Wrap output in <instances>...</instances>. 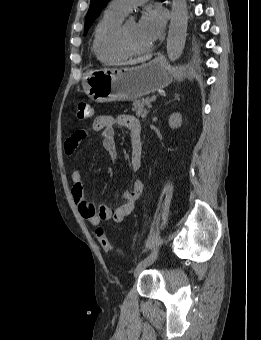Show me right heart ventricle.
Segmentation results:
<instances>
[{
  "mask_svg": "<svg viewBox=\"0 0 261 340\" xmlns=\"http://www.w3.org/2000/svg\"><path fill=\"white\" fill-rule=\"evenodd\" d=\"M124 16L125 14L108 6L96 25L92 50L101 63H113L127 57L116 44L117 32Z\"/></svg>",
  "mask_w": 261,
  "mask_h": 340,
  "instance_id": "1",
  "label": "right heart ventricle"
}]
</instances>
